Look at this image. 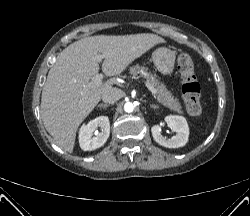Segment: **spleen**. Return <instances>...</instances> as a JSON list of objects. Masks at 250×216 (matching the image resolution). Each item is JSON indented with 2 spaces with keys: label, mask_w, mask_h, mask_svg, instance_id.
<instances>
[{
  "label": "spleen",
  "mask_w": 250,
  "mask_h": 216,
  "mask_svg": "<svg viewBox=\"0 0 250 216\" xmlns=\"http://www.w3.org/2000/svg\"><path fill=\"white\" fill-rule=\"evenodd\" d=\"M210 127V124L207 126V128H209Z\"/></svg>",
  "instance_id": "3e777b00"
}]
</instances>
